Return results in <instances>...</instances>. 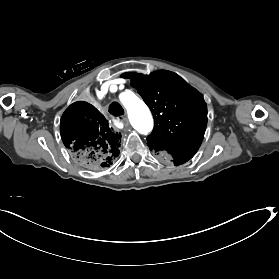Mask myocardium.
I'll return each mask as SVG.
<instances>
[{"mask_svg": "<svg viewBox=\"0 0 279 279\" xmlns=\"http://www.w3.org/2000/svg\"><path fill=\"white\" fill-rule=\"evenodd\" d=\"M108 87V84H103L101 85V90L97 92V97L98 98H101L103 96V91ZM138 99H141L143 102L144 100L140 97V96H137L135 97L134 101L133 102H137ZM145 103V102H144Z\"/></svg>", "mask_w": 279, "mask_h": 279, "instance_id": "obj_1", "label": "myocardium"}]
</instances>
